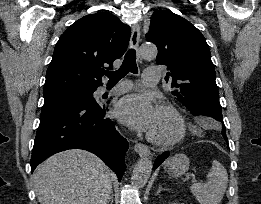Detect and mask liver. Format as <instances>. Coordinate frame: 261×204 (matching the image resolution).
<instances>
[{
  "instance_id": "1",
  "label": "liver",
  "mask_w": 261,
  "mask_h": 204,
  "mask_svg": "<svg viewBox=\"0 0 261 204\" xmlns=\"http://www.w3.org/2000/svg\"><path fill=\"white\" fill-rule=\"evenodd\" d=\"M34 187L40 204H107L112 192L108 167L80 149L57 153L39 165Z\"/></svg>"
}]
</instances>
